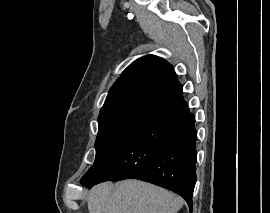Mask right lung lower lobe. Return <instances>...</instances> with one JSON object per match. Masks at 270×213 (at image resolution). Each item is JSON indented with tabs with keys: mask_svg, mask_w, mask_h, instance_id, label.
I'll use <instances>...</instances> for the list:
<instances>
[{
	"mask_svg": "<svg viewBox=\"0 0 270 213\" xmlns=\"http://www.w3.org/2000/svg\"><path fill=\"white\" fill-rule=\"evenodd\" d=\"M194 124L182 92L157 104L108 164L82 184L143 180L182 196L192 213L197 158Z\"/></svg>",
	"mask_w": 270,
	"mask_h": 213,
	"instance_id": "98d812e1",
	"label": "right lung lower lobe"
}]
</instances>
